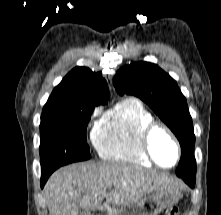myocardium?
<instances>
[{"label": "myocardium", "instance_id": "obj_1", "mask_svg": "<svg viewBox=\"0 0 221 215\" xmlns=\"http://www.w3.org/2000/svg\"><path fill=\"white\" fill-rule=\"evenodd\" d=\"M157 130H161L163 131L165 134L168 135V137L171 139L175 150H176V158L175 161L168 166L162 165L160 164L152 151L151 148V139L153 134L157 131ZM140 147L143 151V153L145 154V156L148 158V160L156 165L157 167H160L162 169H170L175 167L178 162L180 161L181 158V147L179 144V141L177 139V137L175 136V134L173 133V131L165 124L161 123V122H157V121H152L151 123H149L141 132L140 134Z\"/></svg>", "mask_w": 221, "mask_h": 215}]
</instances>
